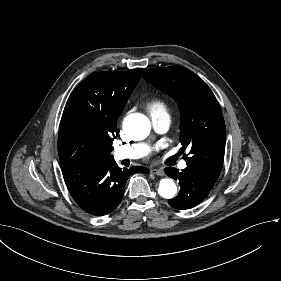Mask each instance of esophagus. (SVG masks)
Masks as SVG:
<instances>
[{
    "label": "esophagus",
    "instance_id": "esophagus-1",
    "mask_svg": "<svg viewBox=\"0 0 281 281\" xmlns=\"http://www.w3.org/2000/svg\"><path fill=\"white\" fill-rule=\"evenodd\" d=\"M150 172L152 174L157 175V176H164L165 175L164 170L161 169V168L160 169H151Z\"/></svg>",
    "mask_w": 281,
    "mask_h": 281
}]
</instances>
